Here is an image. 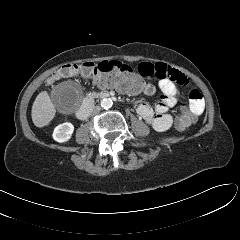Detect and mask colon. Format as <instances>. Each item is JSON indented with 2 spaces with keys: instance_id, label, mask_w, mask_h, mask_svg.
<instances>
[{
  "instance_id": "1",
  "label": "colon",
  "mask_w": 240,
  "mask_h": 240,
  "mask_svg": "<svg viewBox=\"0 0 240 240\" xmlns=\"http://www.w3.org/2000/svg\"><path fill=\"white\" fill-rule=\"evenodd\" d=\"M77 75L92 78L97 84L112 86L125 93H150L152 91L151 86L144 82L136 67L115 60L63 65L52 75L50 81ZM194 121L195 116L186 106H182L176 117L177 128L185 129Z\"/></svg>"
}]
</instances>
